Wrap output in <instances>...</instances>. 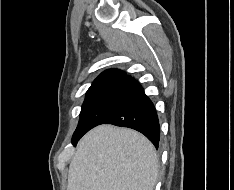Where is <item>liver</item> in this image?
<instances>
[{"label":"liver","instance_id":"6515ba94","mask_svg":"<svg viewBox=\"0 0 234 190\" xmlns=\"http://www.w3.org/2000/svg\"><path fill=\"white\" fill-rule=\"evenodd\" d=\"M157 175L155 148L145 136L100 125L79 141L67 190H153Z\"/></svg>","mask_w":234,"mask_h":190}]
</instances>
